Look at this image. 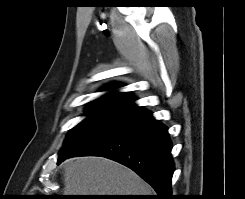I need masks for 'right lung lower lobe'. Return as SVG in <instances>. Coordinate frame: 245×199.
<instances>
[{
	"label": "right lung lower lobe",
	"instance_id": "1",
	"mask_svg": "<svg viewBox=\"0 0 245 199\" xmlns=\"http://www.w3.org/2000/svg\"><path fill=\"white\" fill-rule=\"evenodd\" d=\"M171 149L167 128L144 110L67 157H59L58 163L75 156L106 157L129 167L149 183L157 193L155 199H173Z\"/></svg>",
	"mask_w": 245,
	"mask_h": 199
}]
</instances>
